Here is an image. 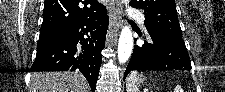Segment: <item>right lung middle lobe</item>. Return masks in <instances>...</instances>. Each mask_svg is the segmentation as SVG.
Here are the masks:
<instances>
[{
	"label": "right lung middle lobe",
	"instance_id": "obj_1",
	"mask_svg": "<svg viewBox=\"0 0 225 92\" xmlns=\"http://www.w3.org/2000/svg\"><path fill=\"white\" fill-rule=\"evenodd\" d=\"M64 32V29H40L39 40L50 38L53 36H60Z\"/></svg>",
	"mask_w": 225,
	"mask_h": 92
}]
</instances>
